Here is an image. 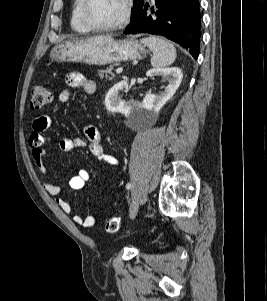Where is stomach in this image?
<instances>
[{"label": "stomach", "mask_w": 267, "mask_h": 301, "mask_svg": "<svg viewBox=\"0 0 267 301\" xmlns=\"http://www.w3.org/2000/svg\"><path fill=\"white\" fill-rule=\"evenodd\" d=\"M146 54L144 44L133 38L116 41L110 36H98L63 41L51 50L50 58L56 62L107 65L142 59Z\"/></svg>", "instance_id": "obj_1"}]
</instances>
